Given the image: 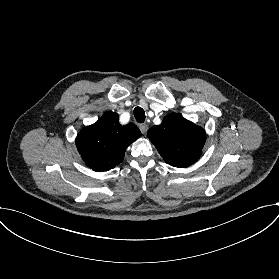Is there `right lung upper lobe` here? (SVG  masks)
I'll use <instances>...</instances> for the list:
<instances>
[{
	"mask_svg": "<svg viewBox=\"0 0 279 279\" xmlns=\"http://www.w3.org/2000/svg\"><path fill=\"white\" fill-rule=\"evenodd\" d=\"M140 136L136 125L121 126L117 113L106 112L96 123L80 131L76 146L89 168L108 171L123 160L126 148Z\"/></svg>",
	"mask_w": 279,
	"mask_h": 279,
	"instance_id": "obj_1",
	"label": "right lung upper lobe"
}]
</instances>
